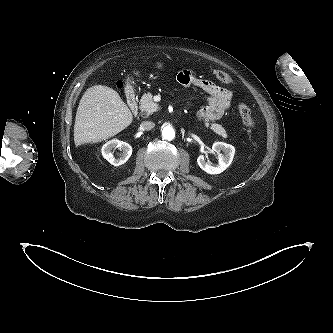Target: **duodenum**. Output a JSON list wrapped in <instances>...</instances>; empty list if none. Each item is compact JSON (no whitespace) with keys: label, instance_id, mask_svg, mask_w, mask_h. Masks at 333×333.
<instances>
[{"label":"duodenum","instance_id":"obj_1","mask_svg":"<svg viewBox=\"0 0 333 333\" xmlns=\"http://www.w3.org/2000/svg\"><path fill=\"white\" fill-rule=\"evenodd\" d=\"M126 96L128 100L129 107L133 115L138 113V102L135 89L132 84H128L126 87Z\"/></svg>","mask_w":333,"mask_h":333}]
</instances>
